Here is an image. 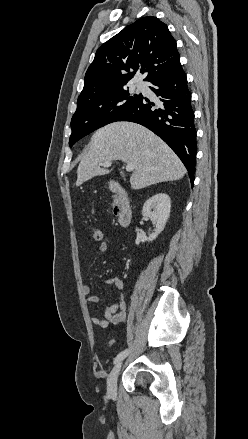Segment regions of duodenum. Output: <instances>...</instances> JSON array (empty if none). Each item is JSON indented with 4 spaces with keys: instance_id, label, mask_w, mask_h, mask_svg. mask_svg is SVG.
<instances>
[{
    "instance_id": "1",
    "label": "duodenum",
    "mask_w": 248,
    "mask_h": 439,
    "mask_svg": "<svg viewBox=\"0 0 248 439\" xmlns=\"http://www.w3.org/2000/svg\"><path fill=\"white\" fill-rule=\"evenodd\" d=\"M111 192L115 195L113 204L114 214L117 217L118 223L126 227L133 219V212L130 204V198L127 191L117 181H112L110 185Z\"/></svg>"
}]
</instances>
